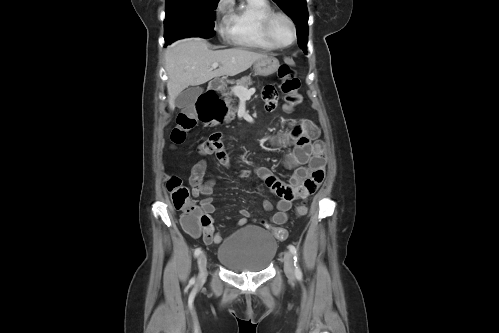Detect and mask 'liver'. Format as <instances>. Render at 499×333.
Segmentation results:
<instances>
[{
    "mask_svg": "<svg viewBox=\"0 0 499 333\" xmlns=\"http://www.w3.org/2000/svg\"><path fill=\"white\" fill-rule=\"evenodd\" d=\"M267 57L265 53L244 48L213 51L209 49L206 40L198 37L174 42L165 51L170 110H174L176 97L188 86L202 85L224 75L235 76L246 71L256 61ZM213 63H219V68L212 69Z\"/></svg>",
    "mask_w": 499,
    "mask_h": 333,
    "instance_id": "liver-1",
    "label": "liver"
}]
</instances>
